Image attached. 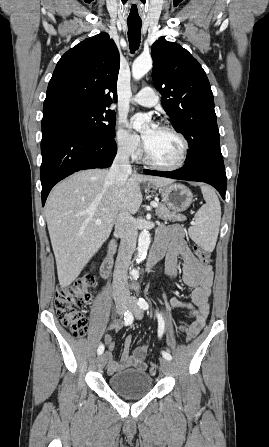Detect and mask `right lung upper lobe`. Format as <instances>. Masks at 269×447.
Instances as JSON below:
<instances>
[{"instance_id": "cb5924a9", "label": "right lung upper lobe", "mask_w": 269, "mask_h": 447, "mask_svg": "<svg viewBox=\"0 0 269 447\" xmlns=\"http://www.w3.org/2000/svg\"><path fill=\"white\" fill-rule=\"evenodd\" d=\"M120 67L115 42L102 32L67 51L48 84L43 115L64 106L109 107L117 101Z\"/></svg>"}]
</instances>
